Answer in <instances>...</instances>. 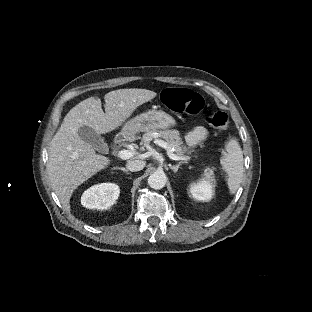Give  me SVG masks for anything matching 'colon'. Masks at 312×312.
I'll use <instances>...</instances> for the list:
<instances>
[{"mask_svg":"<svg viewBox=\"0 0 312 312\" xmlns=\"http://www.w3.org/2000/svg\"><path fill=\"white\" fill-rule=\"evenodd\" d=\"M163 100L166 107L186 116L197 115L204 107L202 97L190 89L167 88ZM205 120L218 129H226L228 124L227 114L220 111L207 114Z\"/></svg>","mask_w":312,"mask_h":312,"instance_id":"obj_1","label":"colon"}]
</instances>
